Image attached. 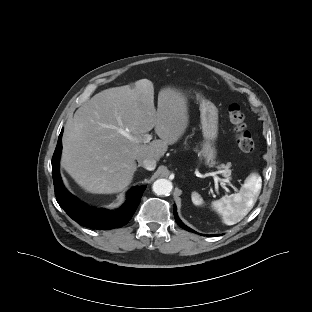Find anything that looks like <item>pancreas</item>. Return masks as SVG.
Returning <instances> with one entry per match:
<instances>
[{
    "label": "pancreas",
    "instance_id": "1",
    "mask_svg": "<svg viewBox=\"0 0 312 312\" xmlns=\"http://www.w3.org/2000/svg\"><path fill=\"white\" fill-rule=\"evenodd\" d=\"M222 167L225 168L224 176L229 178L231 175V171L228 169L229 167L228 166H222Z\"/></svg>",
    "mask_w": 312,
    "mask_h": 312
}]
</instances>
